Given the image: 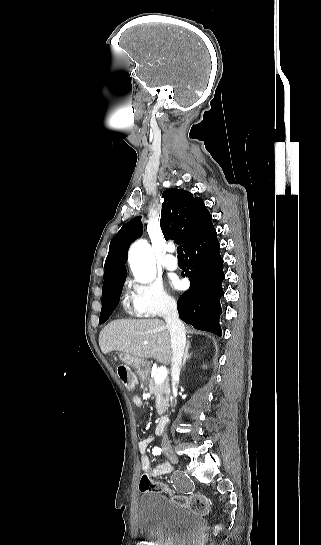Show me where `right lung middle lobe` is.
I'll use <instances>...</instances> for the list:
<instances>
[{"instance_id": "obj_1", "label": "right lung middle lobe", "mask_w": 321, "mask_h": 545, "mask_svg": "<svg viewBox=\"0 0 321 545\" xmlns=\"http://www.w3.org/2000/svg\"><path fill=\"white\" fill-rule=\"evenodd\" d=\"M124 281L122 283L112 287V288H109L107 290H103V294H102V310H101L100 319H99L100 324H102L103 322H105L108 319L107 313H106V311H107L106 310V305H107L108 299L111 298L112 296H114V297L120 296Z\"/></svg>"}]
</instances>
